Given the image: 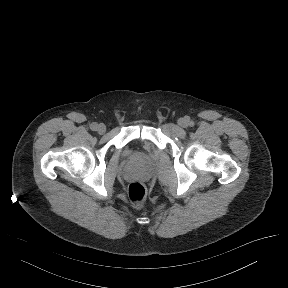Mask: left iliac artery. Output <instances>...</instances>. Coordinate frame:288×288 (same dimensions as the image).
I'll return each mask as SVG.
<instances>
[{"instance_id": "44dca946", "label": "left iliac artery", "mask_w": 288, "mask_h": 288, "mask_svg": "<svg viewBox=\"0 0 288 288\" xmlns=\"http://www.w3.org/2000/svg\"><path fill=\"white\" fill-rule=\"evenodd\" d=\"M189 125H190V126H194V122H193V121H190Z\"/></svg>"}]
</instances>
